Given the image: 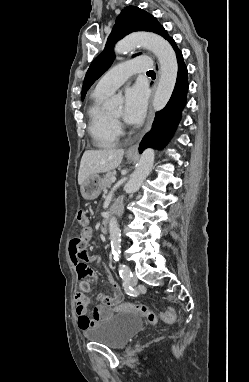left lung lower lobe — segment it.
Wrapping results in <instances>:
<instances>
[{
  "instance_id": "1",
  "label": "left lung lower lobe",
  "mask_w": 249,
  "mask_h": 382,
  "mask_svg": "<svg viewBox=\"0 0 249 382\" xmlns=\"http://www.w3.org/2000/svg\"><path fill=\"white\" fill-rule=\"evenodd\" d=\"M176 52L178 62L177 81L172 96L165 108L156 113L151 130L144 136L140 143L139 151L143 152L147 147L161 149L172 137L180 120L182 108L186 102L188 91L187 68L183 61L181 51L178 49L173 38L168 39Z\"/></svg>"
}]
</instances>
